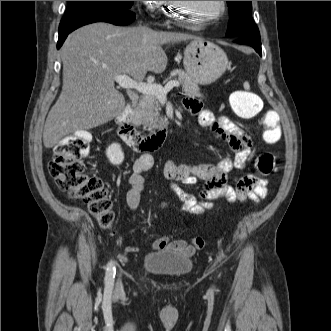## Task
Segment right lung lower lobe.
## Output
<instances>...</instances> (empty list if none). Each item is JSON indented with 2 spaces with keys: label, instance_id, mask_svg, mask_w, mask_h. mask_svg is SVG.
<instances>
[{
  "label": "right lung lower lobe",
  "instance_id": "right-lung-lower-lobe-1",
  "mask_svg": "<svg viewBox=\"0 0 331 331\" xmlns=\"http://www.w3.org/2000/svg\"><path fill=\"white\" fill-rule=\"evenodd\" d=\"M134 20H135V14L129 10L101 14V15H97L94 17L80 20L76 23L71 24L68 27H65V28L59 30V39H58V43H57V48L59 49L62 46L64 40L66 39V37L68 36V34L70 32L74 31L75 29H77L81 26H84V25H87L90 23H94V22H107V23H111L114 25H118V26H125V25L132 23Z\"/></svg>",
  "mask_w": 331,
  "mask_h": 331
}]
</instances>
